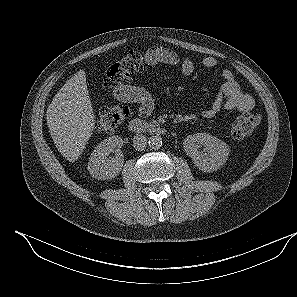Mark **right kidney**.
I'll return each instance as SVG.
<instances>
[{"mask_svg": "<svg viewBox=\"0 0 297 297\" xmlns=\"http://www.w3.org/2000/svg\"><path fill=\"white\" fill-rule=\"evenodd\" d=\"M122 145L121 137L112 136L95 147L88 162V170L92 177L108 180L120 173L124 164V157L120 150ZM111 152H115V156L108 157Z\"/></svg>", "mask_w": 297, "mask_h": 297, "instance_id": "ca27d5eb", "label": "right kidney"}]
</instances>
